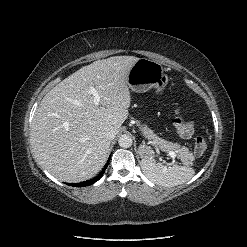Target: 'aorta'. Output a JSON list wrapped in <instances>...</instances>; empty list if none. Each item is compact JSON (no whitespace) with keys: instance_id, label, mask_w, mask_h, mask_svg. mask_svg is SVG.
Returning <instances> with one entry per match:
<instances>
[{"instance_id":"obj_1","label":"aorta","mask_w":247,"mask_h":247,"mask_svg":"<svg viewBox=\"0 0 247 247\" xmlns=\"http://www.w3.org/2000/svg\"><path fill=\"white\" fill-rule=\"evenodd\" d=\"M132 143H133V140H132L131 136H129L127 134L121 135L119 140H118V144L122 148H129L132 146Z\"/></svg>"}]
</instances>
